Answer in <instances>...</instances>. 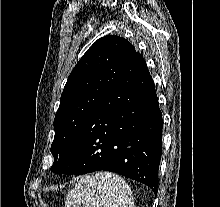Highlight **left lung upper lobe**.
I'll return each mask as SVG.
<instances>
[{"mask_svg": "<svg viewBox=\"0 0 220 207\" xmlns=\"http://www.w3.org/2000/svg\"><path fill=\"white\" fill-rule=\"evenodd\" d=\"M136 53L128 40L105 36L98 39L76 64L66 82L54 119L52 167L59 163Z\"/></svg>", "mask_w": 220, "mask_h": 207, "instance_id": "5c2ea615", "label": "left lung upper lobe"}]
</instances>
